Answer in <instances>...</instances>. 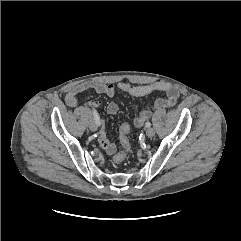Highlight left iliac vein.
<instances>
[{
    "label": "left iliac vein",
    "mask_w": 241,
    "mask_h": 241,
    "mask_svg": "<svg viewBox=\"0 0 241 241\" xmlns=\"http://www.w3.org/2000/svg\"><path fill=\"white\" fill-rule=\"evenodd\" d=\"M146 135L149 137V138H152L154 137L155 135V130L151 127H149L147 130H146Z\"/></svg>",
    "instance_id": "4c4485c4"
}]
</instances>
